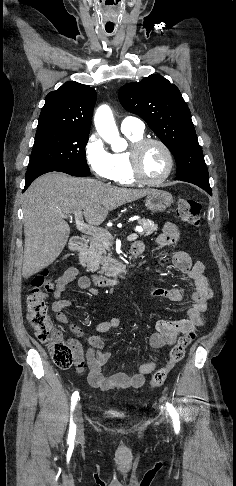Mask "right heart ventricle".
<instances>
[{"mask_svg":"<svg viewBox=\"0 0 236 486\" xmlns=\"http://www.w3.org/2000/svg\"><path fill=\"white\" fill-rule=\"evenodd\" d=\"M131 144L141 140L143 133L123 132ZM113 177L112 180L120 185H135L137 182L133 178L129 161V150L112 154Z\"/></svg>","mask_w":236,"mask_h":486,"instance_id":"obj_1","label":"right heart ventricle"}]
</instances>
